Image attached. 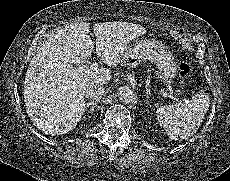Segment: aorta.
<instances>
[{
  "mask_svg": "<svg viewBox=\"0 0 230 181\" xmlns=\"http://www.w3.org/2000/svg\"><path fill=\"white\" fill-rule=\"evenodd\" d=\"M119 100L124 104H135L137 102L136 93L129 87H122L118 91Z\"/></svg>",
  "mask_w": 230,
  "mask_h": 181,
  "instance_id": "762f6f07",
  "label": "aorta"
}]
</instances>
